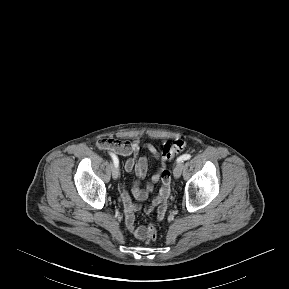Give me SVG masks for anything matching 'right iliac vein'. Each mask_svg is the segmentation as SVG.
I'll return each instance as SVG.
<instances>
[{
  "instance_id": "63e3f726",
  "label": "right iliac vein",
  "mask_w": 289,
  "mask_h": 289,
  "mask_svg": "<svg viewBox=\"0 0 289 289\" xmlns=\"http://www.w3.org/2000/svg\"><path fill=\"white\" fill-rule=\"evenodd\" d=\"M112 177L116 180L119 177V169L116 166H112Z\"/></svg>"
}]
</instances>
